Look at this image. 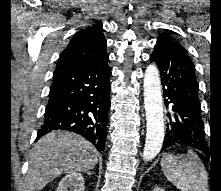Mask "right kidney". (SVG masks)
<instances>
[{"label": "right kidney", "instance_id": "1", "mask_svg": "<svg viewBox=\"0 0 221 191\" xmlns=\"http://www.w3.org/2000/svg\"><path fill=\"white\" fill-rule=\"evenodd\" d=\"M84 191V178L81 173L73 172L60 181L56 191Z\"/></svg>", "mask_w": 221, "mask_h": 191}]
</instances>
